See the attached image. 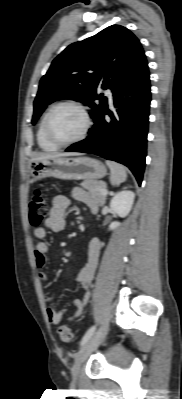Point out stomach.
<instances>
[{
    "label": "stomach",
    "mask_w": 182,
    "mask_h": 399,
    "mask_svg": "<svg viewBox=\"0 0 182 399\" xmlns=\"http://www.w3.org/2000/svg\"><path fill=\"white\" fill-rule=\"evenodd\" d=\"M30 175L34 181L46 177L62 180H97L106 175L104 164L93 158H48L33 161L30 165Z\"/></svg>",
    "instance_id": "1"
}]
</instances>
